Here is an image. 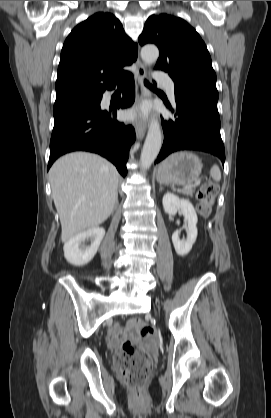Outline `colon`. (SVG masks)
Instances as JSON below:
<instances>
[{
  "label": "colon",
  "mask_w": 271,
  "mask_h": 418,
  "mask_svg": "<svg viewBox=\"0 0 271 418\" xmlns=\"http://www.w3.org/2000/svg\"><path fill=\"white\" fill-rule=\"evenodd\" d=\"M217 191L218 187L212 182L205 183L198 191V210L203 217L210 214ZM135 324L139 327L141 337H152L155 334L153 327L140 322ZM114 363L121 378L136 393H140L152 368L150 355L142 350L138 343L128 341L117 350Z\"/></svg>",
  "instance_id": "1"
}]
</instances>
